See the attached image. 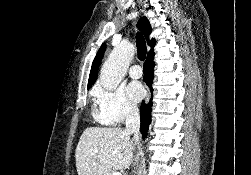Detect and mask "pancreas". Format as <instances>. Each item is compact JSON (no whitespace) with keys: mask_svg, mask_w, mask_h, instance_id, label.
<instances>
[{"mask_svg":"<svg viewBox=\"0 0 251 175\" xmlns=\"http://www.w3.org/2000/svg\"><path fill=\"white\" fill-rule=\"evenodd\" d=\"M104 175H110V171H105Z\"/></svg>","mask_w":251,"mask_h":175,"instance_id":"pancreas-1","label":"pancreas"}]
</instances>
